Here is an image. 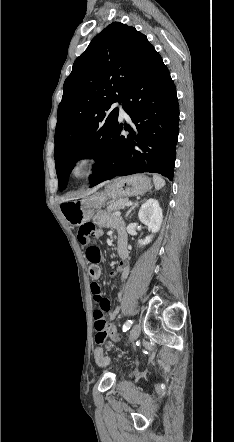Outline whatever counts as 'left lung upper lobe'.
Returning <instances> with one entry per match:
<instances>
[{
  "label": "left lung upper lobe",
  "instance_id": "obj_1",
  "mask_svg": "<svg viewBox=\"0 0 234 442\" xmlns=\"http://www.w3.org/2000/svg\"><path fill=\"white\" fill-rule=\"evenodd\" d=\"M154 52L144 34L113 22L75 60L63 86L55 130L54 157L60 190L66 188L79 159L93 157L94 172L103 164L118 125V109L107 111L114 102H122Z\"/></svg>",
  "mask_w": 234,
  "mask_h": 442
}]
</instances>
